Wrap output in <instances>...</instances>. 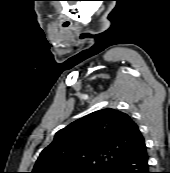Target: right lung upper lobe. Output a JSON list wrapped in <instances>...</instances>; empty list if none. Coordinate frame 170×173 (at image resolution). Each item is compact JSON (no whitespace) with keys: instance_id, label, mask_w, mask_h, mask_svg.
Returning a JSON list of instances; mask_svg holds the SVG:
<instances>
[{"instance_id":"1","label":"right lung upper lobe","mask_w":170,"mask_h":173,"mask_svg":"<svg viewBox=\"0 0 170 173\" xmlns=\"http://www.w3.org/2000/svg\"><path fill=\"white\" fill-rule=\"evenodd\" d=\"M144 145V137L130 116L102 109L59 130L41 152L32 173L106 169Z\"/></svg>"}]
</instances>
